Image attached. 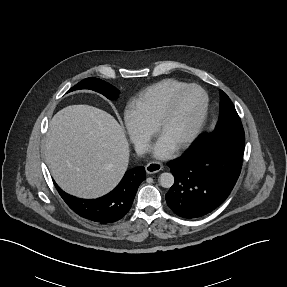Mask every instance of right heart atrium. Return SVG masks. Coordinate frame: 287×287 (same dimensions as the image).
<instances>
[{
  "label": "right heart atrium",
  "mask_w": 287,
  "mask_h": 287,
  "mask_svg": "<svg viewBox=\"0 0 287 287\" xmlns=\"http://www.w3.org/2000/svg\"><path fill=\"white\" fill-rule=\"evenodd\" d=\"M124 125L135 147L144 152L152 137V131L144 127L129 111L125 113Z\"/></svg>",
  "instance_id": "obj_1"
}]
</instances>
